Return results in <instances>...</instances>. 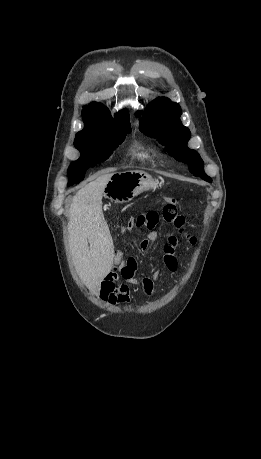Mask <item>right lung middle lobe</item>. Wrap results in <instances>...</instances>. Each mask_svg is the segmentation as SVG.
I'll use <instances>...</instances> for the list:
<instances>
[{
	"mask_svg": "<svg viewBox=\"0 0 261 459\" xmlns=\"http://www.w3.org/2000/svg\"><path fill=\"white\" fill-rule=\"evenodd\" d=\"M130 132V124H122L105 130L77 134L74 145L80 150L81 157L69 166V183L81 182L86 170L108 159L111 152Z\"/></svg>",
	"mask_w": 261,
	"mask_h": 459,
	"instance_id": "obj_1",
	"label": "right lung middle lobe"
}]
</instances>
